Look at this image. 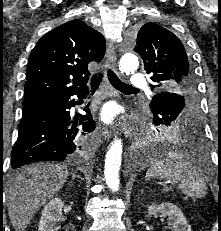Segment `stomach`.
Instances as JSON below:
<instances>
[{
    "label": "stomach",
    "instance_id": "1",
    "mask_svg": "<svg viewBox=\"0 0 221 231\" xmlns=\"http://www.w3.org/2000/svg\"><path fill=\"white\" fill-rule=\"evenodd\" d=\"M177 128H173V127H171V128H168L167 130L170 132L171 130H176Z\"/></svg>",
    "mask_w": 221,
    "mask_h": 231
}]
</instances>
